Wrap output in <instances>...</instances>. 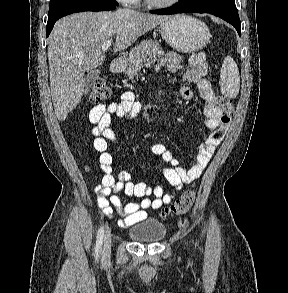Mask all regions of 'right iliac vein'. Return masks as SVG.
<instances>
[{"mask_svg": "<svg viewBox=\"0 0 288 293\" xmlns=\"http://www.w3.org/2000/svg\"><path fill=\"white\" fill-rule=\"evenodd\" d=\"M110 251H111V237L109 235H107L105 237V242H104V246H103V253H102V257L104 260L109 258Z\"/></svg>", "mask_w": 288, "mask_h": 293, "instance_id": "63e3f726", "label": "right iliac vein"}]
</instances>
